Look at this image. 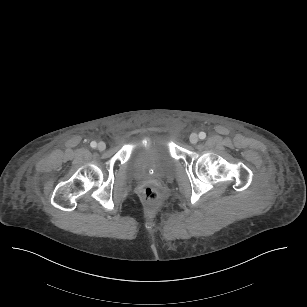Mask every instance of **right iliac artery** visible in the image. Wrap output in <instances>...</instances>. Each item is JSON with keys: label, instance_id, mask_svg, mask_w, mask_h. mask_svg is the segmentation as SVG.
Returning <instances> with one entry per match:
<instances>
[{"label": "right iliac artery", "instance_id": "right-iliac-artery-1", "mask_svg": "<svg viewBox=\"0 0 307 307\" xmlns=\"http://www.w3.org/2000/svg\"><path fill=\"white\" fill-rule=\"evenodd\" d=\"M90 146H91L92 148H96L97 143H96L95 141H92V142L90 143Z\"/></svg>", "mask_w": 307, "mask_h": 307}]
</instances>
